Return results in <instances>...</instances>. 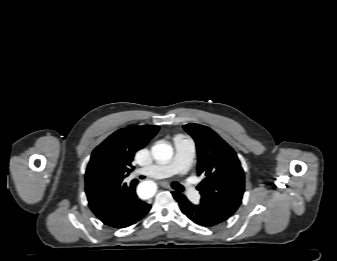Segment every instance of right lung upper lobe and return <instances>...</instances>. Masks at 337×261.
<instances>
[{"label":"right lung upper lobe","instance_id":"1","mask_svg":"<svg viewBox=\"0 0 337 261\" xmlns=\"http://www.w3.org/2000/svg\"><path fill=\"white\" fill-rule=\"evenodd\" d=\"M159 126H133L110 135L97 146L85 174V191L89 207L97 217L103 216L130 187L124 183L134 154L158 132Z\"/></svg>","mask_w":337,"mask_h":261}]
</instances>
